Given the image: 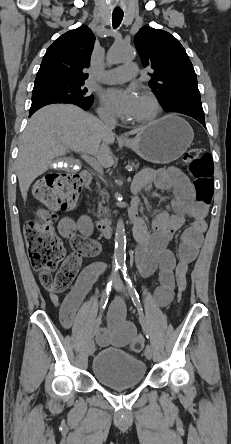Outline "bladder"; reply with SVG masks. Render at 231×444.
Returning <instances> with one entry per match:
<instances>
[{
  "mask_svg": "<svg viewBox=\"0 0 231 444\" xmlns=\"http://www.w3.org/2000/svg\"><path fill=\"white\" fill-rule=\"evenodd\" d=\"M91 369L96 380L113 389L137 386L142 383L146 373L142 360L115 349L96 352Z\"/></svg>",
  "mask_w": 231,
  "mask_h": 444,
  "instance_id": "bladder-1",
  "label": "bladder"
}]
</instances>
